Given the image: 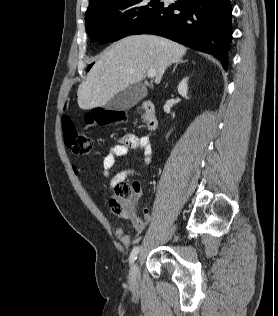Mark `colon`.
<instances>
[{"label":"colon","instance_id":"obj_1","mask_svg":"<svg viewBox=\"0 0 278 316\" xmlns=\"http://www.w3.org/2000/svg\"><path fill=\"white\" fill-rule=\"evenodd\" d=\"M127 116L120 111H93L85 118L88 124L98 126H107L112 123L123 122ZM62 129L66 147L73 153L87 155L93 151V142L90 137L80 132L73 120L65 116L62 120ZM138 185H128L125 182L118 183L114 186V193L109 201L112 212L118 216L127 214L132 218L134 213L135 192Z\"/></svg>","mask_w":278,"mask_h":316}]
</instances>
